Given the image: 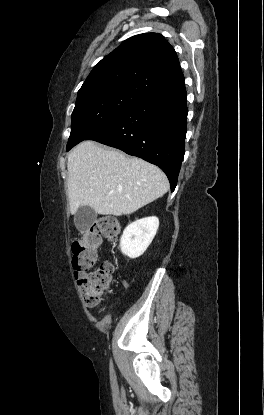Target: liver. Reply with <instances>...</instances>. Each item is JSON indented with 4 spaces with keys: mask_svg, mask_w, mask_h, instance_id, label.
<instances>
[{
    "mask_svg": "<svg viewBox=\"0 0 264 415\" xmlns=\"http://www.w3.org/2000/svg\"><path fill=\"white\" fill-rule=\"evenodd\" d=\"M70 213L89 206L100 215H128L163 196L169 188L157 166L123 152L84 141L69 153Z\"/></svg>",
    "mask_w": 264,
    "mask_h": 415,
    "instance_id": "6515ba94",
    "label": "liver"
}]
</instances>
